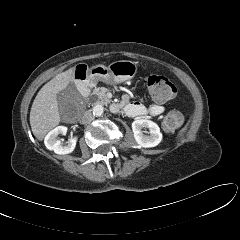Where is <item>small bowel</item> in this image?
Instances as JSON below:
<instances>
[{
	"instance_id": "obj_1",
	"label": "small bowel",
	"mask_w": 240,
	"mask_h": 240,
	"mask_svg": "<svg viewBox=\"0 0 240 240\" xmlns=\"http://www.w3.org/2000/svg\"><path fill=\"white\" fill-rule=\"evenodd\" d=\"M119 107L131 117L159 116L165 110L161 104L154 103L145 105L140 101H133L132 94L129 92L123 95Z\"/></svg>"
}]
</instances>
